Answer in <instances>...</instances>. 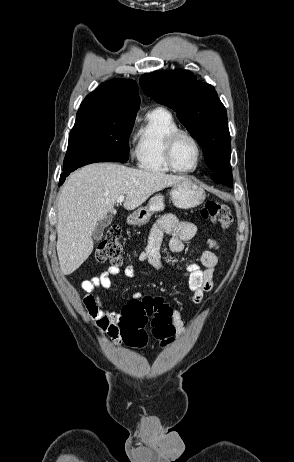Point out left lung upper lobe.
<instances>
[{
    "label": "left lung upper lobe",
    "mask_w": 294,
    "mask_h": 462,
    "mask_svg": "<svg viewBox=\"0 0 294 462\" xmlns=\"http://www.w3.org/2000/svg\"><path fill=\"white\" fill-rule=\"evenodd\" d=\"M140 85L145 94L176 112L202 147L213 173H231L227 112L213 86L182 69L143 74Z\"/></svg>",
    "instance_id": "obj_1"
}]
</instances>
